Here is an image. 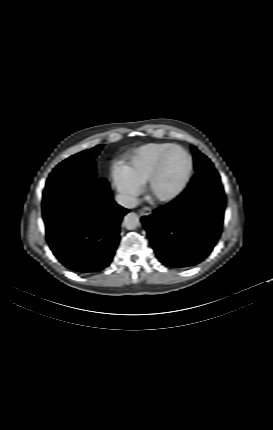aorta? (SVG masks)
Here are the masks:
<instances>
[{"mask_svg": "<svg viewBox=\"0 0 273 430\" xmlns=\"http://www.w3.org/2000/svg\"><path fill=\"white\" fill-rule=\"evenodd\" d=\"M123 224L128 230H134L140 225L139 216L134 213H128L123 220Z\"/></svg>", "mask_w": 273, "mask_h": 430, "instance_id": "aorta-1", "label": "aorta"}]
</instances>
